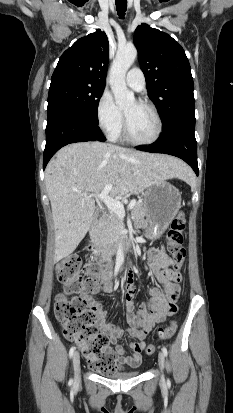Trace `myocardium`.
I'll list each match as a JSON object with an SVG mask.
<instances>
[{"mask_svg": "<svg viewBox=\"0 0 233 413\" xmlns=\"http://www.w3.org/2000/svg\"><path fill=\"white\" fill-rule=\"evenodd\" d=\"M137 103L142 105V106H145V107L149 108L152 111V113L154 114V116L156 118V122H157L156 133L153 136V138H151L149 140H137V139H135L130 133L128 120H127V117L124 113V126H123L124 137L129 143H131L133 145H137V146H147V145L154 144L162 136V132H163L162 117H161L158 109L156 108V106L154 104H152L151 102L146 101V100H139V101H137Z\"/></svg>", "mask_w": 233, "mask_h": 413, "instance_id": "1", "label": "myocardium"}]
</instances>
